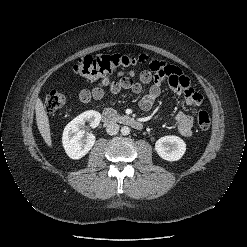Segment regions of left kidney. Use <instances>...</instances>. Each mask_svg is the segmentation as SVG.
I'll list each match as a JSON object with an SVG mask.
<instances>
[{
	"label": "left kidney",
	"instance_id": "left-kidney-1",
	"mask_svg": "<svg viewBox=\"0 0 247 247\" xmlns=\"http://www.w3.org/2000/svg\"><path fill=\"white\" fill-rule=\"evenodd\" d=\"M155 150L162 159L177 161L184 155L186 144L180 137L169 135L157 140Z\"/></svg>",
	"mask_w": 247,
	"mask_h": 247
}]
</instances>
